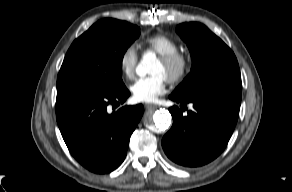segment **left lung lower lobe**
I'll return each mask as SVG.
<instances>
[{
    "mask_svg": "<svg viewBox=\"0 0 292 192\" xmlns=\"http://www.w3.org/2000/svg\"><path fill=\"white\" fill-rule=\"evenodd\" d=\"M170 99L181 103V108H169L173 125L162 139L165 154L185 167H198L214 160L233 133L241 94L217 92L190 98L170 95ZM188 103L193 104L194 110L184 115Z\"/></svg>",
    "mask_w": 292,
    "mask_h": 192,
    "instance_id": "1",
    "label": "left lung lower lobe"
}]
</instances>
